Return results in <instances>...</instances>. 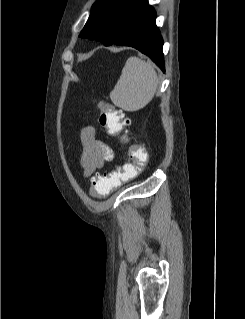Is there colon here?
Returning <instances> with one entry per match:
<instances>
[{
  "instance_id": "1",
  "label": "colon",
  "mask_w": 245,
  "mask_h": 319,
  "mask_svg": "<svg viewBox=\"0 0 245 319\" xmlns=\"http://www.w3.org/2000/svg\"><path fill=\"white\" fill-rule=\"evenodd\" d=\"M99 124L113 137L122 142L128 141L127 129L130 120L112 103L99 102ZM126 162L106 174H94L91 178L90 192L94 196H106L124 183L137 177L148 162V154L141 144H130L125 156Z\"/></svg>"
}]
</instances>
